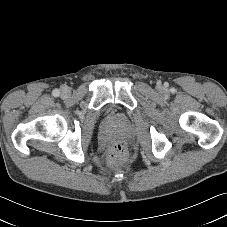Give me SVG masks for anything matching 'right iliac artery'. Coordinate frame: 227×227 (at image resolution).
Wrapping results in <instances>:
<instances>
[{
    "label": "right iliac artery",
    "mask_w": 227,
    "mask_h": 227,
    "mask_svg": "<svg viewBox=\"0 0 227 227\" xmlns=\"http://www.w3.org/2000/svg\"><path fill=\"white\" fill-rule=\"evenodd\" d=\"M54 97H58L60 95V91L58 89L53 90L52 92Z\"/></svg>",
    "instance_id": "82829eb1"
}]
</instances>
